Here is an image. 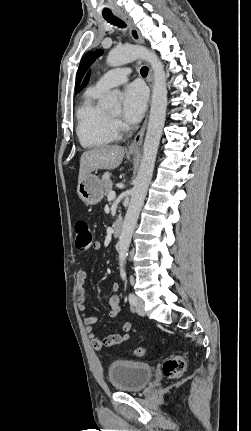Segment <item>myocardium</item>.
I'll list each match as a JSON object with an SVG mask.
<instances>
[{
	"mask_svg": "<svg viewBox=\"0 0 251 431\" xmlns=\"http://www.w3.org/2000/svg\"><path fill=\"white\" fill-rule=\"evenodd\" d=\"M109 117H110V119H111L114 123H116V122H117V116H112V115H110V114H109Z\"/></svg>",
	"mask_w": 251,
	"mask_h": 431,
	"instance_id": "obj_1",
	"label": "myocardium"
}]
</instances>
